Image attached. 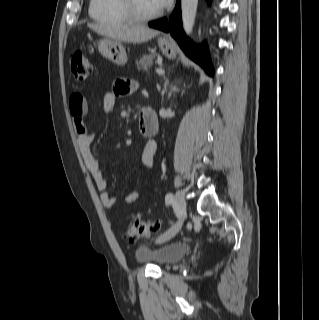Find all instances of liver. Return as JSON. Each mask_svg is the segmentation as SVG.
Listing matches in <instances>:
<instances>
[{
    "label": "liver",
    "mask_w": 319,
    "mask_h": 320,
    "mask_svg": "<svg viewBox=\"0 0 319 320\" xmlns=\"http://www.w3.org/2000/svg\"><path fill=\"white\" fill-rule=\"evenodd\" d=\"M88 27L98 34L127 43H143L159 34L143 25L88 24Z\"/></svg>",
    "instance_id": "obj_1"
}]
</instances>
